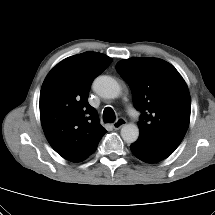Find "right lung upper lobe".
Wrapping results in <instances>:
<instances>
[{"label": "right lung upper lobe", "instance_id": "obj_1", "mask_svg": "<svg viewBox=\"0 0 215 215\" xmlns=\"http://www.w3.org/2000/svg\"><path fill=\"white\" fill-rule=\"evenodd\" d=\"M112 62L97 52H85L58 63L47 75L40 92L41 123L51 147L71 162L95 152L106 133L88 96L92 81Z\"/></svg>", "mask_w": 215, "mask_h": 215}]
</instances>
